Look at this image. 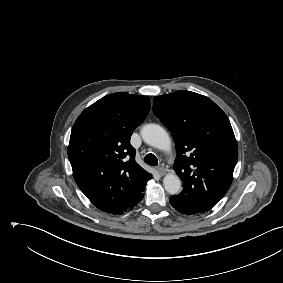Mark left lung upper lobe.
Here are the masks:
<instances>
[{
    "instance_id": "1",
    "label": "left lung upper lobe",
    "mask_w": 283,
    "mask_h": 283,
    "mask_svg": "<svg viewBox=\"0 0 283 283\" xmlns=\"http://www.w3.org/2000/svg\"><path fill=\"white\" fill-rule=\"evenodd\" d=\"M153 112L175 141L180 194L209 211L228 191L237 163L228 117L208 97L182 90L154 97Z\"/></svg>"
}]
</instances>
